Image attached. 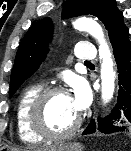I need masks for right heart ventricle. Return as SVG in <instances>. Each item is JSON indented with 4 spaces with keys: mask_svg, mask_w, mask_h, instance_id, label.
<instances>
[{
    "mask_svg": "<svg viewBox=\"0 0 131 151\" xmlns=\"http://www.w3.org/2000/svg\"><path fill=\"white\" fill-rule=\"evenodd\" d=\"M41 90L40 84L30 85L23 90L17 101L15 110L16 130L21 141L27 144H37L42 141V138L33 132L29 123L31 105Z\"/></svg>",
    "mask_w": 131,
    "mask_h": 151,
    "instance_id": "e07e8e85",
    "label": "right heart ventricle"
}]
</instances>
